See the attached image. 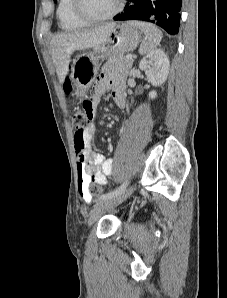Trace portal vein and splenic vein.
<instances>
[{"label":"portal vein and splenic vein","instance_id":"1","mask_svg":"<svg viewBox=\"0 0 227 298\" xmlns=\"http://www.w3.org/2000/svg\"><path fill=\"white\" fill-rule=\"evenodd\" d=\"M127 59H129V60H133L132 55H128V56H127Z\"/></svg>","mask_w":227,"mask_h":298}]
</instances>
